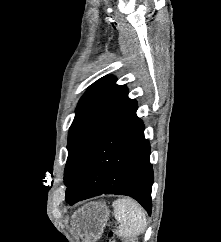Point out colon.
I'll return each mask as SVG.
<instances>
[{"label": "colon", "instance_id": "obj_1", "mask_svg": "<svg viewBox=\"0 0 221 242\" xmlns=\"http://www.w3.org/2000/svg\"><path fill=\"white\" fill-rule=\"evenodd\" d=\"M107 242H116L112 233L110 234L109 239H108ZM125 242H137V240L132 238V239H129V240L125 241Z\"/></svg>", "mask_w": 221, "mask_h": 242}]
</instances>
